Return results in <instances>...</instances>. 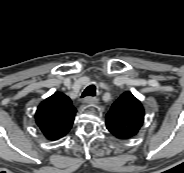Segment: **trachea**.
I'll return each mask as SVG.
<instances>
[{"label": "trachea", "mask_w": 184, "mask_h": 173, "mask_svg": "<svg viewBox=\"0 0 184 173\" xmlns=\"http://www.w3.org/2000/svg\"><path fill=\"white\" fill-rule=\"evenodd\" d=\"M95 94H96V87L95 85L92 84L84 90L81 97L95 96Z\"/></svg>", "instance_id": "3493384b"}]
</instances>
